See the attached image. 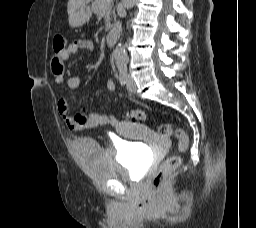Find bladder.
<instances>
[{
  "mask_svg": "<svg viewBox=\"0 0 256 228\" xmlns=\"http://www.w3.org/2000/svg\"><path fill=\"white\" fill-rule=\"evenodd\" d=\"M78 149L84 168L101 179H131L142 176L145 169L146 153L135 143H123L117 151L91 139H82Z\"/></svg>",
  "mask_w": 256,
  "mask_h": 228,
  "instance_id": "1",
  "label": "bladder"
}]
</instances>
